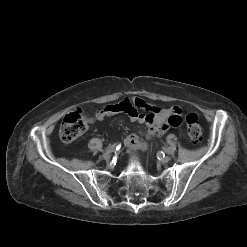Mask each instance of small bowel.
Returning a JSON list of instances; mask_svg holds the SVG:
<instances>
[{
    "mask_svg": "<svg viewBox=\"0 0 247 247\" xmlns=\"http://www.w3.org/2000/svg\"><path fill=\"white\" fill-rule=\"evenodd\" d=\"M140 110L147 113H141ZM118 113H125L131 121L143 125L142 135L147 138H155L162 136L170 127L180 126L182 109L178 106L158 108L141 98L135 97L97 110L93 116L88 118V123L102 121L104 118ZM124 144L130 150L146 148V143L139 135L135 134L127 136Z\"/></svg>",
    "mask_w": 247,
    "mask_h": 247,
    "instance_id": "c3829d8e",
    "label": "small bowel"
}]
</instances>
